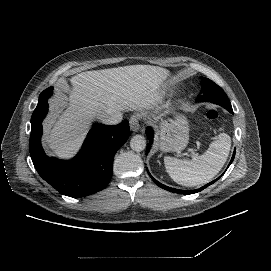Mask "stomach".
Masks as SVG:
<instances>
[{
    "label": "stomach",
    "instance_id": "1",
    "mask_svg": "<svg viewBox=\"0 0 271 271\" xmlns=\"http://www.w3.org/2000/svg\"><path fill=\"white\" fill-rule=\"evenodd\" d=\"M188 142V127L185 120L162 122L159 146L166 151H181Z\"/></svg>",
    "mask_w": 271,
    "mask_h": 271
}]
</instances>
